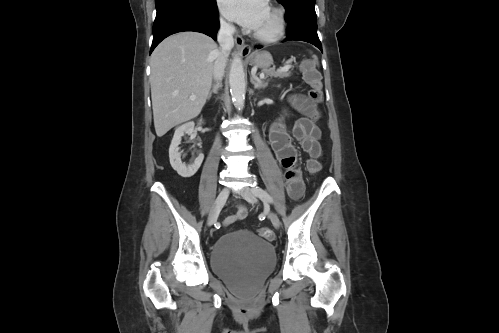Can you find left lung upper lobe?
Here are the masks:
<instances>
[{"mask_svg":"<svg viewBox=\"0 0 499 333\" xmlns=\"http://www.w3.org/2000/svg\"><path fill=\"white\" fill-rule=\"evenodd\" d=\"M285 8L294 2H306L315 4L316 0H278Z\"/></svg>","mask_w":499,"mask_h":333,"instance_id":"left-lung-upper-lobe-1","label":"left lung upper lobe"}]
</instances>
